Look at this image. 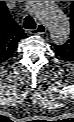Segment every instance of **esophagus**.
I'll use <instances>...</instances> for the list:
<instances>
[{
	"label": "esophagus",
	"instance_id": "esophagus-1",
	"mask_svg": "<svg viewBox=\"0 0 74 122\" xmlns=\"http://www.w3.org/2000/svg\"><path fill=\"white\" fill-rule=\"evenodd\" d=\"M30 34H44L46 32V26L43 23H38L35 29H31Z\"/></svg>",
	"mask_w": 74,
	"mask_h": 122
}]
</instances>
